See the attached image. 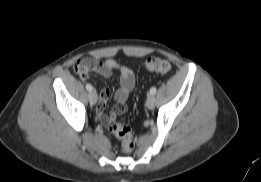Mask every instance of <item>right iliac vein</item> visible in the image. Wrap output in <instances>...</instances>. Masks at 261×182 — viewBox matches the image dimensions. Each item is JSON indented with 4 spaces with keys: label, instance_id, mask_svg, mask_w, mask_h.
<instances>
[{
    "label": "right iliac vein",
    "instance_id": "right-iliac-vein-1",
    "mask_svg": "<svg viewBox=\"0 0 261 182\" xmlns=\"http://www.w3.org/2000/svg\"><path fill=\"white\" fill-rule=\"evenodd\" d=\"M88 98H89V101L91 104H96L97 102V94L95 91H90L89 94H88Z\"/></svg>",
    "mask_w": 261,
    "mask_h": 182
}]
</instances>
